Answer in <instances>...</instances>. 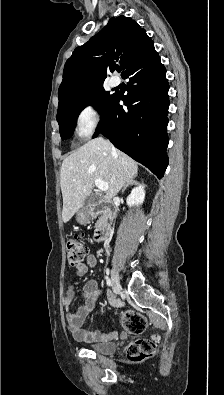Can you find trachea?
I'll return each instance as SVG.
<instances>
[{
	"mask_svg": "<svg viewBox=\"0 0 224 395\" xmlns=\"http://www.w3.org/2000/svg\"><path fill=\"white\" fill-rule=\"evenodd\" d=\"M117 71L120 72V71H121V68H118Z\"/></svg>",
	"mask_w": 224,
	"mask_h": 395,
	"instance_id": "obj_1",
	"label": "trachea"
}]
</instances>
